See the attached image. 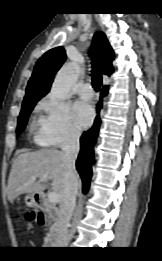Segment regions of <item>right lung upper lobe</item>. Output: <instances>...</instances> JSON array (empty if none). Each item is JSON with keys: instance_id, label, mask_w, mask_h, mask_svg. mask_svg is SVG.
<instances>
[{"instance_id": "cb5924a9", "label": "right lung upper lobe", "mask_w": 162, "mask_h": 261, "mask_svg": "<svg viewBox=\"0 0 162 261\" xmlns=\"http://www.w3.org/2000/svg\"><path fill=\"white\" fill-rule=\"evenodd\" d=\"M93 46L98 51V59L101 65L100 72L110 76L114 71L112 66L114 52L103 32L95 33ZM65 60L66 54L63 47H56L47 51L34 67L33 74L26 88L24 100L42 98L46 95L50 90L54 75Z\"/></svg>"}]
</instances>
